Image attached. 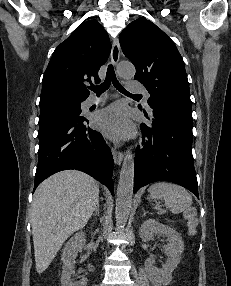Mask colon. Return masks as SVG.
<instances>
[{
    "instance_id": "5ec220e1",
    "label": "colon",
    "mask_w": 231,
    "mask_h": 286,
    "mask_svg": "<svg viewBox=\"0 0 231 286\" xmlns=\"http://www.w3.org/2000/svg\"><path fill=\"white\" fill-rule=\"evenodd\" d=\"M186 216H187V218H188V220H189V226H190V228L193 229V228H194L193 211H192V210H188V211L186 212Z\"/></svg>"
}]
</instances>
